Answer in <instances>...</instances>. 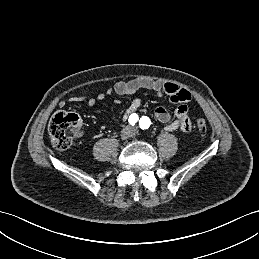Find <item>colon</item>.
I'll use <instances>...</instances> for the list:
<instances>
[{
  "label": "colon",
  "instance_id": "obj_1",
  "mask_svg": "<svg viewBox=\"0 0 259 259\" xmlns=\"http://www.w3.org/2000/svg\"><path fill=\"white\" fill-rule=\"evenodd\" d=\"M81 126V118L74 113L59 112L50 120L48 131L51 143L58 150H65L72 144L73 138ZM196 128L201 134L207 131L204 119L196 121Z\"/></svg>",
  "mask_w": 259,
  "mask_h": 259
}]
</instances>
